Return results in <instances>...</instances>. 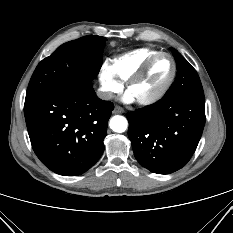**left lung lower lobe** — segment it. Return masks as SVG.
<instances>
[{
    "instance_id": "1",
    "label": "left lung lower lobe",
    "mask_w": 233,
    "mask_h": 233,
    "mask_svg": "<svg viewBox=\"0 0 233 233\" xmlns=\"http://www.w3.org/2000/svg\"><path fill=\"white\" fill-rule=\"evenodd\" d=\"M128 136L137 161L151 172L170 174L195 152L205 124V99L162 98L127 114Z\"/></svg>"
}]
</instances>
